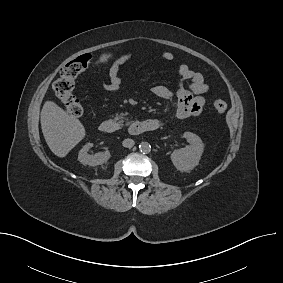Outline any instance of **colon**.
<instances>
[{"label":"colon","mask_w":283,"mask_h":283,"mask_svg":"<svg viewBox=\"0 0 283 283\" xmlns=\"http://www.w3.org/2000/svg\"><path fill=\"white\" fill-rule=\"evenodd\" d=\"M112 57L113 54L111 52L103 53L97 59H93L90 54H84L68 62L61 69L58 79L53 84V89L56 97L70 115L78 117L83 112L82 105L73 92L76 78L90 66L105 64ZM213 107L221 114L227 110L226 102L221 99L215 100Z\"/></svg>","instance_id":"colon-1"}]
</instances>
